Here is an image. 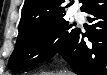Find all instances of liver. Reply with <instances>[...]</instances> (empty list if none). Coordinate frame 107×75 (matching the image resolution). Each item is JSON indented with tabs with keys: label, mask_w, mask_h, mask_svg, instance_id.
Returning <instances> with one entry per match:
<instances>
[{
	"label": "liver",
	"mask_w": 107,
	"mask_h": 75,
	"mask_svg": "<svg viewBox=\"0 0 107 75\" xmlns=\"http://www.w3.org/2000/svg\"><path fill=\"white\" fill-rule=\"evenodd\" d=\"M49 75H73V74L71 72H57V73H51Z\"/></svg>",
	"instance_id": "liver-1"
}]
</instances>
